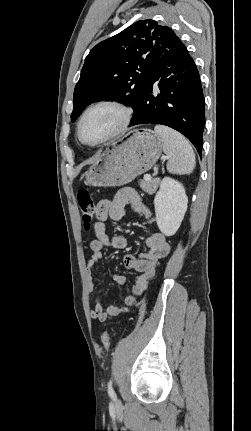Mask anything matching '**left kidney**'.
<instances>
[{
	"mask_svg": "<svg viewBox=\"0 0 251 431\" xmlns=\"http://www.w3.org/2000/svg\"><path fill=\"white\" fill-rule=\"evenodd\" d=\"M188 198L183 185L175 179L164 177L154 198L156 222L165 236L178 230L187 210Z\"/></svg>",
	"mask_w": 251,
	"mask_h": 431,
	"instance_id": "5707ae66",
	"label": "left kidney"
}]
</instances>
